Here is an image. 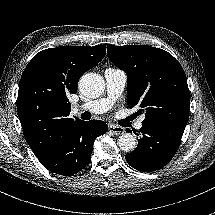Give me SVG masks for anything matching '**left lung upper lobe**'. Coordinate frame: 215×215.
<instances>
[{"mask_svg":"<svg viewBox=\"0 0 215 215\" xmlns=\"http://www.w3.org/2000/svg\"><path fill=\"white\" fill-rule=\"evenodd\" d=\"M107 53L110 61L126 72L127 104L144 108L142 123L188 122L186 75L170 53L147 45H107Z\"/></svg>","mask_w":215,"mask_h":215,"instance_id":"left-lung-upper-lobe-1","label":"left lung upper lobe"}]
</instances>
